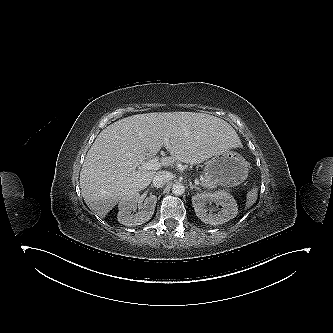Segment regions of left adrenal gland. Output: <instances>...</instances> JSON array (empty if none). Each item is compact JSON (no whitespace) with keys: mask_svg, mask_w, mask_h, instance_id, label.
Returning <instances> with one entry per match:
<instances>
[{"mask_svg":"<svg viewBox=\"0 0 333 333\" xmlns=\"http://www.w3.org/2000/svg\"><path fill=\"white\" fill-rule=\"evenodd\" d=\"M190 189H191V190L196 189V190L201 191L200 187H198V186H196V185H192V184H190Z\"/></svg>","mask_w":333,"mask_h":333,"instance_id":"a2214340","label":"left adrenal gland"}]
</instances>
